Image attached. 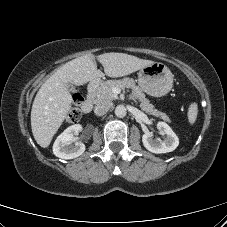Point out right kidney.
<instances>
[{"mask_svg":"<svg viewBox=\"0 0 227 227\" xmlns=\"http://www.w3.org/2000/svg\"><path fill=\"white\" fill-rule=\"evenodd\" d=\"M82 126L75 124L65 129L55 140L53 145V153L62 159H73L82 155L85 151V145L82 142H75L78 135L82 131ZM75 142V145H72Z\"/></svg>","mask_w":227,"mask_h":227,"instance_id":"ca27d5eb","label":"right kidney"}]
</instances>
